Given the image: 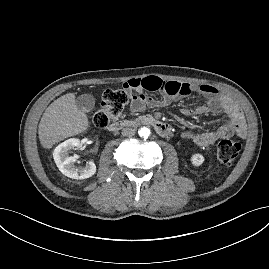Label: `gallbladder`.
Segmentation results:
<instances>
[{"label":"gallbladder","instance_id":"bac80fb5","mask_svg":"<svg viewBox=\"0 0 269 269\" xmlns=\"http://www.w3.org/2000/svg\"><path fill=\"white\" fill-rule=\"evenodd\" d=\"M76 106L84 112H90L95 106V98L91 94H82L76 99Z\"/></svg>","mask_w":269,"mask_h":269}]
</instances>
